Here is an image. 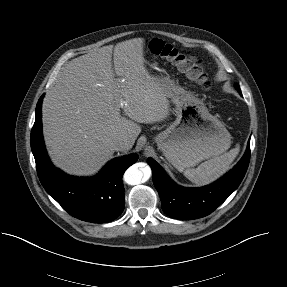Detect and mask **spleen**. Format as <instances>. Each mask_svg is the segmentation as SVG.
<instances>
[{"mask_svg":"<svg viewBox=\"0 0 287 287\" xmlns=\"http://www.w3.org/2000/svg\"><path fill=\"white\" fill-rule=\"evenodd\" d=\"M239 144L229 152L203 162L197 168L186 169L184 175L196 185H207L221 177L239 153Z\"/></svg>","mask_w":287,"mask_h":287,"instance_id":"1","label":"spleen"}]
</instances>
